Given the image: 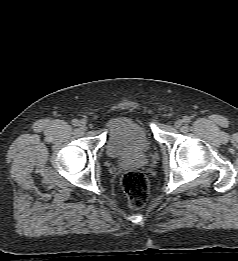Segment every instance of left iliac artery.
Listing matches in <instances>:
<instances>
[{
  "instance_id": "left-iliac-artery-1",
  "label": "left iliac artery",
  "mask_w": 238,
  "mask_h": 261,
  "mask_svg": "<svg viewBox=\"0 0 238 261\" xmlns=\"http://www.w3.org/2000/svg\"><path fill=\"white\" fill-rule=\"evenodd\" d=\"M190 121H191V118L189 116H184L183 122L190 123Z\"/></svg>"
}]
</instances>
